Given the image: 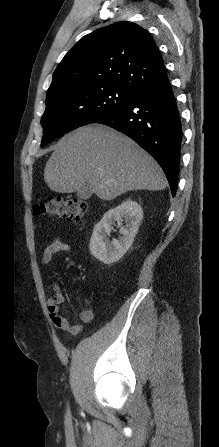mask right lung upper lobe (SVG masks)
I'll return each mask as SVG.
<instances>
[{
  "label": "right lung upper lobe",
  "instance_id": "obj_1",
  "mask_svg": "<svg viewBox=\"0 0 219 447\" xmlns=\"http://www.w3.org/2000/svg\"><path fill=\"white\" fill-rule=\"evenodd\" d=\"M167 78L150 33L122 21L80 39L56 68L47 95L58 90L84 92L102 85L118 86L136 95Z\"/></svg>",
  "mask_w": 219,
  "mask_h": 447
}]
</instances>
